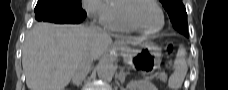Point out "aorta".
Instances as JSON below:
<instances>
[{"mask_svg": "<svg viewBox=\"0 0 228 90\" xmlns=\"http://www.w3.org/2000/svg\"><path fill=\"white\" fill-rule=\"evenodd\" d=\"M114 61L113 55H107L100 60L97 67V75L100 79H107L113 73Z\"/></svg>", "mask_w": 228, "mask_h": 90, "instance_id": "obj_1", "label": "aorta"}]
</instances>
